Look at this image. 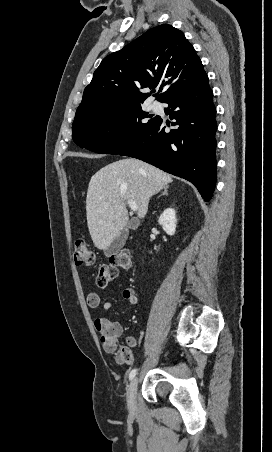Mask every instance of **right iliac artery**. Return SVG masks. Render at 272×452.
<instances>
[{"label":"right iliac artery","instance_id":"1","mask_svg":"<svg viewBox=\"0 0 272 452\" xmlns=\"http://www.w3.org/2000/svg\"><path fill=\"white\" fill-rule=\"evenodd\" d=\"M137 373V369H133L129 374V379L132 380Z\"/></svg>","mask_w":272,"mask_h":452}]
</instances>
